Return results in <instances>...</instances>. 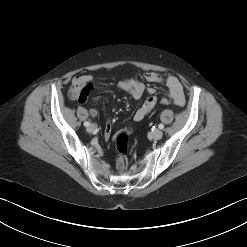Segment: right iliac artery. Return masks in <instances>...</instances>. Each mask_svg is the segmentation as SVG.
Segmentation results:
<instances>
[{
    "label": "right iliac artery",
    "instance_id": "obj_1",
    "mask_svg": "<svg viewBox=\"0 0 247 247\" xmlns=\"http://www.w3.org/2000/svg\"><path fill=\"white\" fill-rule=\"evenodd\" d=\"M89 125H90L89 122H84V126H85V127H88Z\"/></svg>",
    "mask_w": 247,
    "mask_h": 247
}]
</instances>
